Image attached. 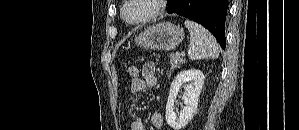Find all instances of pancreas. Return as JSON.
Wrapping results in <instances>:
<instances>
[{
  "label": "pancreas",
  "mask_w": 299,
  "mask_h": 130,
  "mask_svg": "<svg viewBox=\"0 0 299 130\" xmlns=\"http://www.w3.org/2000/svg\"><path fill=\"white\" fill-rule=\"evenodd\" d=\"M170 62H171V69L174 70L176 68H179L180 65L185 62V60L183 58L176 56L175 54H172L170 56Z\"/></svg>",
  "instance_id": "1"
}]
</instances>
